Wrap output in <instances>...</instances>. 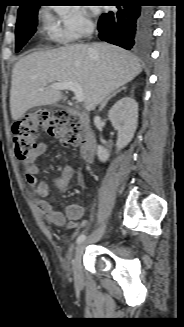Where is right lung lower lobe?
I'll use <instances>...</instances> for the list:
<instances>
[{"label":"right lung lower lobe","mask_w":184,"mask_h":327,"mask_svg":"<svg viewBox=\"0 0 184 327\" xmlns=\"http://www.w3.org/2000/svg\"><path fill=\"white\" fill-rule=\"evenodd\" d=\"M116 11L102 14L98 21L99 38L127 50L149 45L152 35L153 11L135 0H127Z\"/></svg>","instance_id":"98d812e1"}]
</instances>
